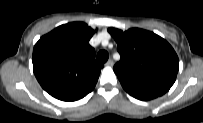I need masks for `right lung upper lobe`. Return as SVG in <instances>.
Wrapping results in <instances>:
<instances>
[{"instance_id":"obj_1","label":"right lung upper lobe","mask_w":203,"mask_h":123,"mask_svg":"<svg viewBox=\"0 0 203 123\" xmlns=\"http://www.w3.org/2000/svg\"><path fill=\"white\" fill-rule=\"evenodd\" d=\"M95 31L83 22L61 25L42 36L33 49V71L42 88L60 99L91 91L103 64L89 40Z\"/></svg>"}]
</instances>
